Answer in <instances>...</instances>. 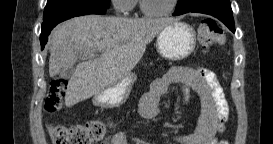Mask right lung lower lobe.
I'll list each match as a JSON object with an SVG mask.
<instances>
[{
  "mask_svg": "<svg viewBox=\"0 0 273 144\" xmlns=\"http://www.w3.org/2000/svg\"><path fill=\"white\" fill-rule=\"evenodd\" d=\"M107 8L95 4H74L60 6L54 9L47 18L43 19L40 35L41 48L44 49L50 31L60 22L75 16L88 14H105Z\"/></svg>",
  "mask_w": 273,
  "mask_h": 144,
  "instance_id": "obj_1",
  "label": "right lung lower lobe"
}]
</instances>
